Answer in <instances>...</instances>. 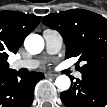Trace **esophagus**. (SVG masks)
Wrapping results in <instances>:
<instances>
[{"mask_svg": "<svg viewBox=\"0 0 107 107\" xmlns=\"http://www.w3.org/2000/svg\"><path fill=\"white\" fill-rule=\"evenodd\" d=\"M46 77L55 78V77H57V75L56 74L47 73Z\"/></svg>", "mask_w": 107, "mask_h": 107, "instance_id": "obj_1", "label": "esophagus"}]
</instances>
